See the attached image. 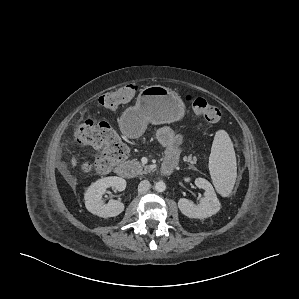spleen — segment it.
Instances as JSON below:
<instances>
[{
	"instance_id": "obj_1",
	"label": "spleen",
	"mask_w": 299,
	"mask_h": 299,
	"mask_svg": "<svg viewBox=\"0 0 299 299\" xmlns=\"http://www.w3.org/2000/svg\"><path fill=\"white\" fill-rule=\"evenodd\" d=\"M209 170L216 190L223 196H228L237 177V163L232 141L224 130L216 132L211 154Z\"/></svg>"
}]
</instances>
